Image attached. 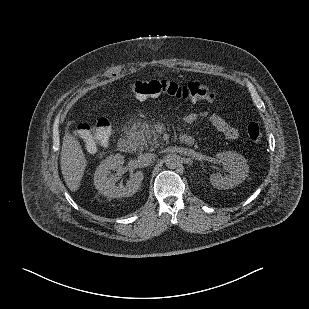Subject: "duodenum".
<instances>
[{
    "mask_svg": "<svg viewBox=\"0 0 309 309\" xmlns=\"http://www.w3.org/2000/svg\"><path fill=\"white\" fill-rule=\"evenodd\" d=\"M180 141L186 145L193 144V138L189 135H182L180 137ZM117 148L121 152L130 153L132 151V143L127 138H120L117 143Z\"/></svg>",
    "mask_w": 309,
    "mask_h": 309,
    "instance_id": "obj_1",
    "label": "duodenum"
}]
</instances>
